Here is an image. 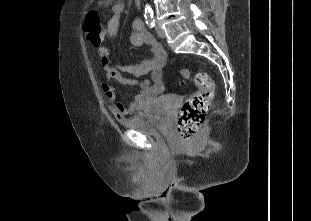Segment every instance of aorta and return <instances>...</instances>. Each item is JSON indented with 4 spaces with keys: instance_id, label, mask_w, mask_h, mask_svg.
Segmentation results:
<instances>
[{
    "instance_id": "762f6f07",
    "label": "aorta",
    "mask_w": 311,
    "mask_h": 221,
    "mask_svg": "<svg viewBox=\"0 0 311 221\" xmlns=\"http://www.w3.org/2000/svg\"><path fill=\"white\" fill-rule=\"evenodd\" d=\"M145 18L146 20H150V18H153V10L149 4H146L145 6Z\"/></svg>"
}]
</instances>
